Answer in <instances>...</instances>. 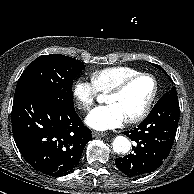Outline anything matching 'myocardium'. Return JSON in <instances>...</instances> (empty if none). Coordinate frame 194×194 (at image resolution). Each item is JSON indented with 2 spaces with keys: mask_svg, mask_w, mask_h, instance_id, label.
Here are the masks:
<instances>
[{
  "mask_svg": "<svg viewBox=\"0 0 194 194\" xmlns=\"http://www.w3.org/2000/svg\"><path fill=\"white\" fill-rule=\"evenodd\" d=\"M141 77H148L152 80L153 82V91L152 94L147 102V104L145 105L144 109L136 116L126 119V123L128 124H135V123H139L141 121H143L150 113L153 104L156 100L158 91H159V85H158V81L156 79V77L148 72H138L134 75H131L129 77H126L125 79H123L122 81H120L113 89H111L106 96H116L121 94L126 87L133 81H135L138 78Z\"/></svg>",
  "mask_w": 194,
  "mask_h": 194,
  "instance_id": "1",
  "label": "myocardium"
}]
</instances>
